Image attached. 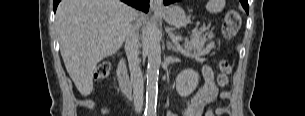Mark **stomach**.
Returning <instances> with one entry per match:
<instances>
[{
	"label": "stomach",
	"instance_id": "obj_1",
	"mask_svg": "<svg viewBox=\"0 0 305 116\" xmlns=\"http://www.w3.org/2000/svg\"><path fill=\"white\" fill-rule=\"evenodd\" d=\"M159 13L169 23L177 28L184 27L190 22V18L186 15L185 11L179 6H170L162 10Z\"/></svg>",
	"mask_w": 305,
	"mask_h": 116
}]
</instances>
